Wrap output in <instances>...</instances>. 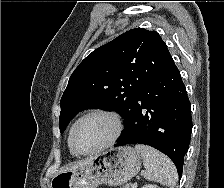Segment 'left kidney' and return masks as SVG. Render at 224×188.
I'll use <instances>...</instances> for the list:
<instances>
[{
	"label": "left kidney",
	"mask_w": 224,
	"mask_h": 188,
	"mask_svg": "<svg viewBox=\"0 0 224 188\" xmlns=\"http://www.w3.org/2000/svg\"><path fill=\"white\" fill-rule=\"evenodd\" d=\"M142 188H160L157 185H153V184H148V185H144Z\"/></svg>",
	"instance_id": "left-kidney-1"
}]
</instances>
